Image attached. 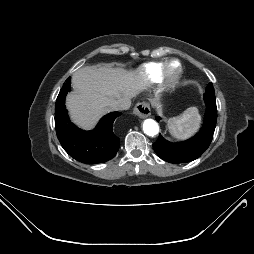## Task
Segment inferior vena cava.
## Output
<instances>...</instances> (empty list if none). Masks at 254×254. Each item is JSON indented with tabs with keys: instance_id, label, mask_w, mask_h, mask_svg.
Wrapping results in <instances>:
<instances>
[{
	"instance_id": "1",
	"label": "inferior vena cava",
	"mask_w": 254,
	"mask_h": 254,
	"mask_svg": "<svg viewBox=\"0 0 254 254\" xmlns=\"http://www.w3.org/2000/svg\"><path fill=\"white\" fill-rule=\"evenodd\" d=\"M131 105L129 100L118 101L112 104L113 110H127Z\"/></svg>"
}]
</instances>
